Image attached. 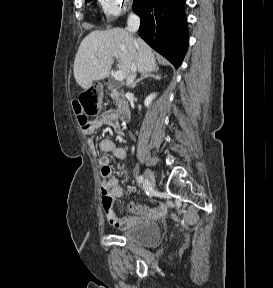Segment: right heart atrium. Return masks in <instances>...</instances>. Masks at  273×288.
Here are the masks:
<instances>
[{
    "mask_svg": "<svg viewBox=\"0 0 273 288\" xmlns=\"http://www.w3.org/2000/svg\"><path fill=\"white\" fill-rule=\"evenodd\" d=\"M100 3L106 17L113 19L129 8L132 0H100Z\"/></svg>",
    "mask_w": 273,
    "mask_h": 288,
    "instance_id": "d8ad5b80",
    "label": "right heart atrium"
}]
</instances>
